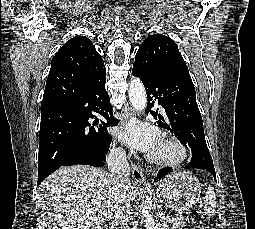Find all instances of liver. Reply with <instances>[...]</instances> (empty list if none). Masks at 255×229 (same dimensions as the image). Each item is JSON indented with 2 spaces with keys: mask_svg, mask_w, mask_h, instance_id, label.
Here are the masks:
<instances>
[{
  "mask_svg": "<svg viewBox=\"0 0 255 229\" xmlns=\"http://www.w3.org/2000/svg\"><path fill=\"white\" fill-rule=\"evenodd\" d=\"M131 201L136 190L129 180ZM115 178L88 165L62 167L38 188V202L52 229H93L109 220L116 203Z\"/></svg>",
  "mask_w": 255,
  "mask_h": 229,
  "instance_id": "1",
  "label": "liver"
}]
</instances>
